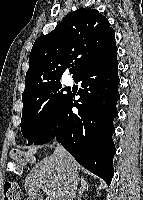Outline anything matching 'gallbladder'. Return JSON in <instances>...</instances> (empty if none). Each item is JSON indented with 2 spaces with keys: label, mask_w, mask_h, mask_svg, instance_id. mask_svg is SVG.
I'll list each match as a JSON object with an SVG mask.
<instances>
[{
  "label": "gallbladder",
  "mask_w": 143,
  "mask_h": 200,
  "mask_svg": "<svg viewBox=\"0 0 143 200\" xmlns=\"http://www.w3.org/2000/svg\"><path fill=\"white\" fill-rule=\"evenodd\" d=\"M30 200H39V198H34V199H30Z\"/></svg>",
  "instance_id": "1"
}]
</instances>
